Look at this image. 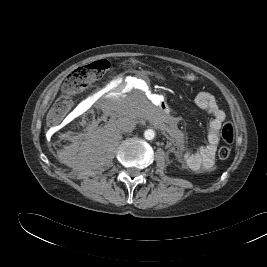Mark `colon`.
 <instances>
[{
  "mask_svg": "<svg viewBox=\"0 0 267 267\" xmlns=\"http://www.w3.org/2000/svg\"><path fill=\"white\" fill-rule=\"evenodd\" d=\"M108 68V61L99 60L74 69L66 77L63 84L62 95L55 101L49 112V121L53 124L60 122L72 109L75 94L85 89L92 82L98 80ZM221 136L225 142H233L235 138L234 126L231 123H225L221 129ZM230 154L231 150L227 146H222L218 150V156L221 160L228 159Z\"/></svg>",
  "mask_w": 267,
  "mask_h": 267,
  "instance_id": "obj_1",
  "label": "colon"
}]
</instances>
